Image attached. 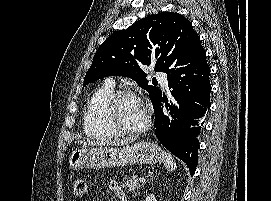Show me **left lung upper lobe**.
I'll return each mask as SVG.
<instances>
[{
    "instance_id": "1",
    "label": "left lung upper lobe",
    "mask_w": 271,
    "mask_h": 201,
    "mask_svg": "<svg viewBox=\"0 0 271 201\" xmlns=\"http://www.w3.org/2000/svg\"><path fill=\"white\" fill-rule=\"evenodd\" d=\"M198 36L182 15L163 12L138 20L127 29L109 36L94 55L84 86L106 76H125L148 91L151 102L161 90L148 84L141 67L156 59L155 71L166 72L178 40Z\"/></svg>"
}]
</instances>
